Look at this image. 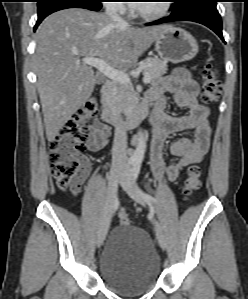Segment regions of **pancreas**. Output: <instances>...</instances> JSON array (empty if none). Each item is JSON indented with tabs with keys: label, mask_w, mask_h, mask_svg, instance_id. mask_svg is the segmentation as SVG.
I'll return each mask as SVG.
<instances>
[{
	"label": "pancreas",
	"mask_w": 248,
	"mask_h": 299,
	"mask_svg": "<svg viewBox=\"0 0 248 299\" xmlns=\"http://www.w3.org/2000/svg\"><path fill=\"white\" fill-rule=\"evenodd\" d=\"M143 73L148 74L151 79H156L167 72L166 62L148 57L142 61ZM109 106L113 109L130 112L138 101L137 95L131 84L115 83L108 95Z\"/></svg>",
	"instance_id": "pancreas-1"
}]
</instances>
